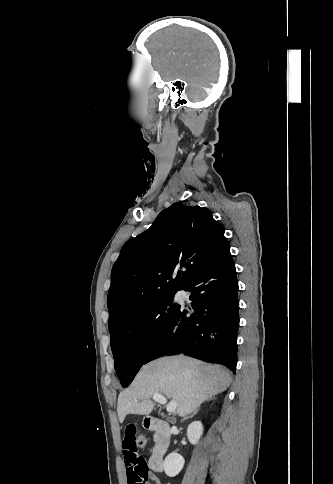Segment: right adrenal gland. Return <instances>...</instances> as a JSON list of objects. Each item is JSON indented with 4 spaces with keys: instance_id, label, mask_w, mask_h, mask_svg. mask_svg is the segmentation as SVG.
Instances as JSON below:
<instances>
[{
    "instance_id": "obj_1",
    "label": "right adrenal gland",
    "mask_w": 333,
    "mask_h": 484,
    "mask_svg": "<svg viewBox=\"0 0 333 484\" xmlns=\"http://www.w3.org/2000/svg\"><path fill=\"white\" fill-rule=\"evenodd\" d=\"M198 410H199V408H197L191 415L184 417V420L193 417L197 413Z\"/></svg>"
}]
</instances>
